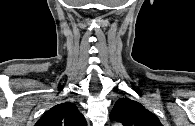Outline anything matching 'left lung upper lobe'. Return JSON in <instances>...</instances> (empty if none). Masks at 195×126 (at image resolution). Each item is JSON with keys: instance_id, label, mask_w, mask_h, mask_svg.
<instances>
[{"instance_id": "obj_1", "label": "left lung upper lobe", "mask_w": 195, "mask_h": 126, "mask_svg": "<svg viewBox=\"0 0 195 126\" xmlns=\"http://www.w3.org/2000/svg\"><path fill=\"white\" fill-rule=\"evenodd\" d=\"M110 119L124 126H162L159 119L140 103L120 98L114 105Z\"/></svg>"}]
</instances>
